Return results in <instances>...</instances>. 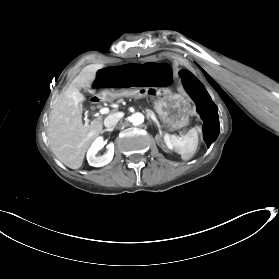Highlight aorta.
<instances>
[{"mask_svg": "<svg viewBox=\"0 0 279 279\" xmlns=\"http://www.w3.org/2000/svg\"><path fill=\"white\" fill-rule=\"evenodd\" d=\"M130 121L133 125H140L144 122V116L141 113H135L130 117Z\"/></svg>", "mask_w": 279, "mask_h": 279, "instance_id": "aorta-1", "label": "aorta"}]
</instances>
